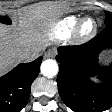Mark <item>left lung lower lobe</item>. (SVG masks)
<instances>
[{
  "mask_svg": "<svg viewBox=\"0 0 112 112\" xmlns=\"http://www.w3.org/2000/svg\"><path fill=\"white\" fill-rule=\"evenodd\" d=\"M107 48L112 49V26L85 44L58 48V91L74 112H102L112 107V64H98L99 54ZM94 76L101 82H93Z\"/></svg>",
  "mask_w": 112,
  "mask_h": 112,
  "instance_id": "0a47b994",
  "label": "left lung lower lobe"
}]
</instances>
